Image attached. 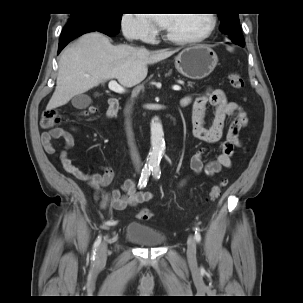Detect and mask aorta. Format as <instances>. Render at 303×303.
<instances>
[{
    "label": "aorta",
    "instance_id": "1",
    "mask_svg": "<svg viewBox=\"0 0 303 303\" xmlns=\"http://www.w3.org/2000/svg\"><path fill=\"white\" fill-rule=\"evenodd\" d=\"M164 152L165 141L162 125L158 118H155L151 123V150L147 157L148 165H158Z\"/></svg>",
    "mask_w": 303,
    "mask_h": 303
}]
</instances>
